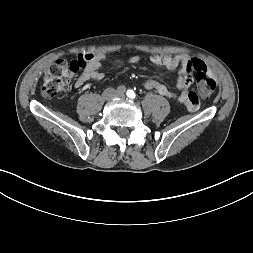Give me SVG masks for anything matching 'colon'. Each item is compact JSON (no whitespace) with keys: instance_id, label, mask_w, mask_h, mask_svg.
Here are the masks:
<instances>
[{"instance_id":"1","label":"colon","mask_w":253,"mask_h":253,"mask_svg":"<svg viewBox=\"0 0 253 253\" xmlns=\"http://www.w3.org/2000/svg\"><path fill=\"white\" fill-rule=\"evenodd\" d=\"M92 55L90 53L80 55L73 60H58L46 71L41 93L45 97H54L66 89L71 79L80 71L86 68ZM191 69L195 73V81L198 87V94L201 97L209 96L215 88V81L207 75L206 65L198 60H190ZM189 111L194 112L187 108Z\"/></svg>"}]
</instances>
